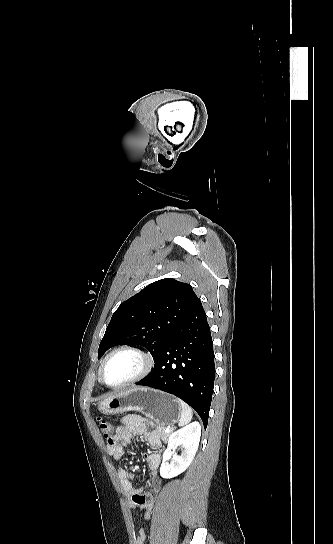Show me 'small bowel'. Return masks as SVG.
Masks as SVG:
<instances>
[{
  "label": "small bowel",
  "instance_id": "small-bowel-1",
  "mask_svg": "<svg viewBox=\"0 0 333 544\" xmlns=\"http://www.w3.org/2000/svg\"><path fill=\"white\" fill-rule=\"evenodd\" d=\"M133 435L143 436L153 449H158L161 446L160 438L152 421L138 415H129L123 418L122 425L116 429L107 441L108 453L116 461L121 460L124 447L130 442ZM144 457L150 472L149 489L146 490L143 487L136 488L133 484L134 475L123 467L117 469V474L121 486L128 497L130 507L143 509L145 511V519H149L152 514L155 497L161 490V480L158 475L161 454L157 451L150 452L145 453ZM145 539V531L140 529L135 538V544H144Z\"/></svg>",
  "mask_w": 333,
  "mask_h": 544
}]
</instances>
